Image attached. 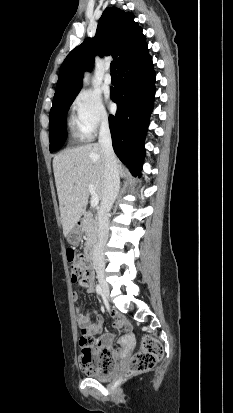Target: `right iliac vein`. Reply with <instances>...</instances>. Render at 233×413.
<instances>
[{
  "label": "right iliac vein",
  "instance_id": "1",
  "mask_svg": "<svg viewBox=\"0 0 233 413\" xmlns=\"http://www.w3.org/2000/svg\"><path fill=\"white\" fill-rule=\"evenodd\" d=\"M99 282L102 288V291L106 297L109 295V286L107 282L104 280L103 276H99Z\"/></svg>",
  "mask_w": 233,
  "mask_h": 413
}]
</instances>
